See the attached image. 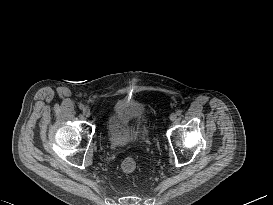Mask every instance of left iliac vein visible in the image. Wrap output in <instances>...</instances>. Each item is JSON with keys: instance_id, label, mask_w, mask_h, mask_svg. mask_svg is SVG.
Masks as SVG:
<instances>
[{"instance_id": "1", "label": "left iliac vein", "mask_w": 273, "mask_h": 205, "mask_svg": "<svg viewBox=\"0 0 273 205\" xmlns=\"http://www.w3.org/2000/svg\"><path fill=\"white\" fill-rule=\"evenodd\" d=\"M169 118L171 121H175L177 119V115L175 113H172Z\"/></svg>"}]
</instances>
